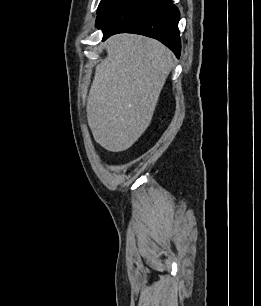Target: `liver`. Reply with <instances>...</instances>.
<instances>
[{
	"instance_id": "1",
	"label": "liver",
	"mask_w": 261,
	"mask_h": 306,
	"mask_svg": "<svg viewBox=\"0 0 261 306\" xmlns=\"http://www.w3.org/2000/svg\"><path fill=\"white\" fill-rule=\"evenodd\" d=\"M87 100L94 140L111 152L130 148L151 123L173 66V53L141 35L118 34L105 42Z\"/></svg>"
}]
</instances>
